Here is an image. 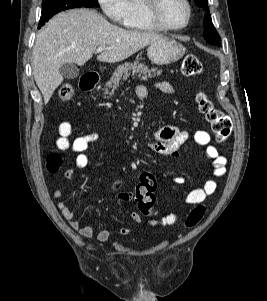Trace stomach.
<instances>
[{"label":"stomach","mask_w":267,"mask_h":301,"mask_svg":"<svg viewBox=\"0 0 267 301\" xmlns=\"http://www.w3.org/2000/svg\"><path fill=\"white\" fill-rule=\"evenodd\" d=\"M186 52L185 47L174 39L161 37L152 42L148 49V58L156 65H167L181 59Z\"/></svg>","instance_id":"stomach-1"}]
</instances>
